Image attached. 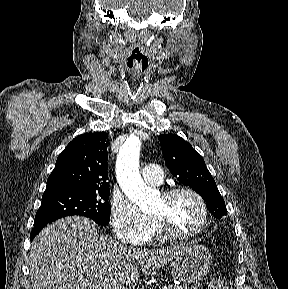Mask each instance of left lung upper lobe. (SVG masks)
<instances>
[{
  "label": "left lung upper lobe",
  "instance_id": "5c2ea615",
  "mask_svg": "<svg viewBox=\"0 0 288 289\" xmlns=\"http://www.w3.org/2000/svg\"><path fill=\"white\" fill-rule=\"evenodd\" d=\"M159 141L170 172L205 200L208 210L215 218L227 215L225 202L216 183L204 159L192 145L176 134H163L159 136Z\"/></svg>",
  "mask_w": 288,
  "mask_h": 289
}]
</instances>
